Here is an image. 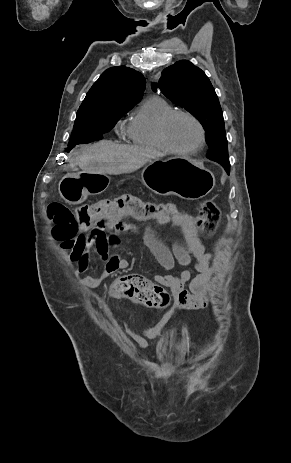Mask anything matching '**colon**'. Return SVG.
<instances>
[{
    "label": "colon",
    "instance_id": "colon-1",
    "mask_svg": "<svg viewBox=\"0 0 291 463\" xmlns=\"http://www.w3.org/2000/svg\"><path fill=\"white\" fill-rule=\"evenodd\" d=\"M133 215L157 226L177 225L182 231L196 233L201 229L204 233H211L217 227L219 210L213 202L206 201L201 205L199 213L190 214L186 209H179L174 200L151 204L131 196L105 199L73 209L62 203H51L47 207V217L53 222L52 234L65 249H71L82 232L102 228L106 218ZM111 295L115 298H131L155 309L170 306L168 293L139 275L118 277L111 286Z\"/></svg>",
    "mask_w": 291,
    "mask_h": 463
}]
</instances>
